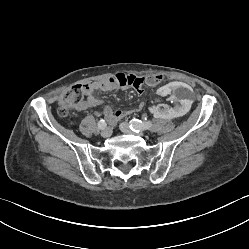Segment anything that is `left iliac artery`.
<instances>
[{
  "label": "left iliac artery",
  "instance_id": "1",
  "mask_svg": "<svg viewBox=\"0 0 249 249\" xmlns=\"http://www.w3.org/2000/svg\"><path fill=\"white\" fill-rule=\"evenodd\" d=\"M151 126L152 122L150 121L142 122L141 120L138 119H132L130 121V129L134 132H140L149 129Z\"/></svg>",
  "mask_w": 249,
  "mask_h": 249
}]
</instances>
